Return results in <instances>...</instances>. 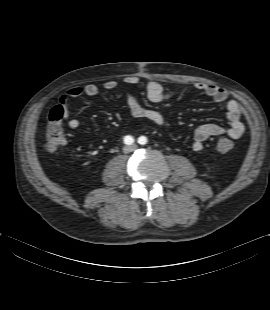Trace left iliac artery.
<instances>
[{
    "instance_id": "1",
    "label": "left iliac artery",
    "mask_w": 270,
    "mask_h": 310,
    "mask_svg": "<svg viewBox=\"0 0 270 310\" xmlns=\"http://www.w3.org/2000/svg\"><path fill=\"white\" fill-rule=\"evenodd\" d=\"M138 142L141 145H145L147 143V138L145 136H141V137H139Z\"/></svg>"
}]
</instances>
